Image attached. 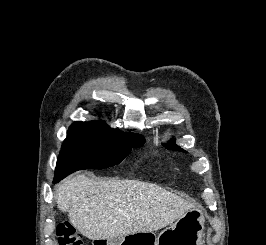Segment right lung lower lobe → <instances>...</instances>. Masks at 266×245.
Here are the masks:
<instances>
[{"label":"right lung lower lobe","instance_id":"obj_1","mask_svg":"<svg viewBox=\"0 0 266 245\" xmlns=\"http://www.w3.org/2000/svg\"><path fill=\"white\" fill-rule=\"evenodd\" d=\"M61 179H59V178H57V177H54V181H53V183H56V182H58V181H60Z\"/></svg>","mask_w":266,"mask_h":245}]
</instances>
